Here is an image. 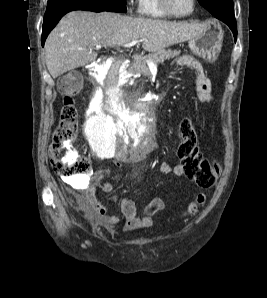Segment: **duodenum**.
<instances>
[{"instance_id": "1", "label": "duodenum", "mask_w": 267, "mask_h": 298, "mask_svg": "<svg viewBox=\"0 0 267 298\" xmlns=\"http://www.w3.org/2000/svg\"><path fill=\"white\" fill-rule=\"evenodd\" d=\"M127 62L120 60L117 63L118 67L112 68L111 80L106 82V87H115L116 89H123L124 85L120 79H129V74H125ZM124 98H133V105H140L133 110V115H156L158 112V104L156 98H147V93H124Z\"/></svg>"}]
</instances>
